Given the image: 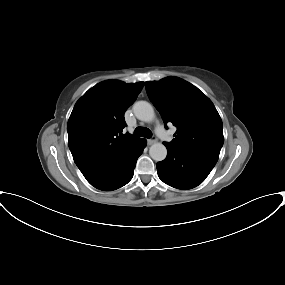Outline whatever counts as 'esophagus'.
I'll use <instances>...</instances> for the list:
<instances>
[{
	"mask_svg": "<svg viewBox=\"0 0 285 285\" xmlns=\"http://www.w3.org/2000/svg\"><path fill=\"white\" fill-rule=\"evenodd\" d=\"M157 142V138L155 137V136H153V137H151V138H149L148 140H147V144L148 145H152V144H154V143H156Z\"/></svg>",
	"mask_w": 285,
	"mask_h": 285,
	"instance_id": "esophagus-1",
	"label": "esophagus"
}]
</instances>
